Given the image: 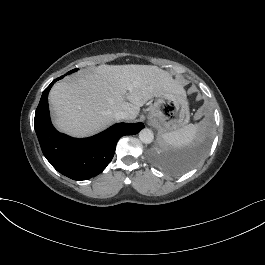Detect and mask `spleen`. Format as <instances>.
Segmentation results:
<instances>
[{
	"instance_id": "1",
	"label": "spleen",
	"mask_w": 265,
	"mask_h": 265,
	"mask_svg": "<svg viewBox=\"0 0 265 265\" xmlns=\"http://www.w3.org/2000/svg\"><path fill=\"white\" fill-rule=\"evenodd\" d=\"M197 127L193 124L185 125L175 131L163 134L165 143L173 148L187 146L194 142Z\"/></svg>"
}]
</instances>
